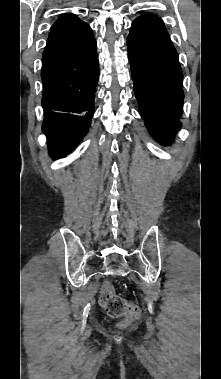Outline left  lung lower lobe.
<instances>
[{"mask_svg":"<svg viewBox=\"0 0 221 379\" xmlns=\"http://www.w3.org/2000/svg\"><path fill=\"white\" fill-rule=\"evenodd\" d=\"M127 47L140 115L156 139L170 142L181 126L183 73L162 20L154 14L134 20Z\"/></svg>","mask_w":221,"mask_h":379,"instance_id":"left-lung-lower-lobe-1","label":"left lung lower lobe"}]
</instances>
